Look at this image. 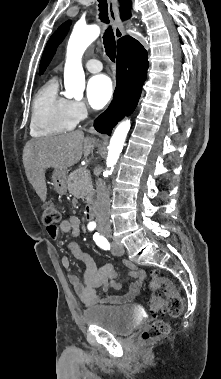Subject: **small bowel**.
Returning a JSON list of instances; mask_svg holds the SVG:
<instances>
[{"label": "small bowel", "instance_id": "1", "mask_svg": "<svg viewBox=\"0 0 221 379\" xmlns=\"http://www.w3.org/2000/svg\"><path fill=\"white\" fill-rule=\"evenodd\" d=\"M47 231L52 239H57L62 233H71L74 237H78L80 235V220L78 217L71 215L61 221L54 230L47 229ZM68 249L76 259L85 265L83 281H81L71 267L70 258L64 255L61 259L74 292L86 307L101 303L123 304L132 301L138 294L146 277V272L143 269L125 260V266L130 269L129 276L134 281L125 295H112L110 293L111 288L119 290L122 287L117 281V272L114 266L105 264L98 268L94 259L88 253L82 251L76 242L69 243ZM101 292L105 294V298H101Z\"/></svg>", "mask_w": 221, "mask_h": 379}]
</instances>
